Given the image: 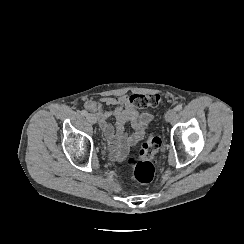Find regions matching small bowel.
Returning a JSON list of instances; mask_svg holds the SVG:
<instances>
[{
    "label": "small bowel",
    "mask_w": 244,
    "mask_h": 244,
    "mask_svg": "<svg viewBox=\"0 0 244 244\" xmlns=\"http://www.w3.org/2000/svg\"><path fill=\"white\" fill-rule=\"evenodd\" d=\"M130 99L129 95H120L87 100L84 103L85 109L94 115L117 159L125 156L128 148L144 137L153 119L152 114L136 109ZM112 116L115 118L114 123L110 121ZM127 124L132 128L131 133L126 132Z\"/></svg>",
    "instance_id": "c3829d8e"
}]
</instances>
